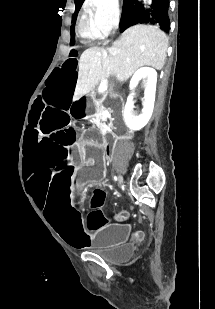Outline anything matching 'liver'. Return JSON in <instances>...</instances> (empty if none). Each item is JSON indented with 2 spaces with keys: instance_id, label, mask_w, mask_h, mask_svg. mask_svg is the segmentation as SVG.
<instances>
[{
  "instance_id": "1",
  "label": "liver",
  "mask_w": 215,
  "mask_h": 309,
  "mask_svg": "<svg viewBox=\"0 0 215 309\" xmlns=\"http://www.w3.org/2000/svg\"><path fill=\"white\" fill-rule=\"evenodd\" d=\"M167 48L165 32L153 24L130 26L110 48H86L80 56L73 100L88 94L100 80H106L111 74L121 82L145 64L161 70Z\"/></svg>"
}]
</instances>
